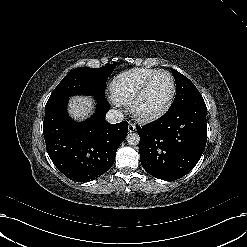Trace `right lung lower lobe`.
I'll return each instance as SVG.
<instances>
[{
    "label": "right lung lower lobe",
    "mask_w": 247,
    "mask_h": 247,
    "mask_svg": "<svg viewBox=\"0 0 247 247\" xmlns=\"http://www.w3.org/2000/svg\"><path fill=\"white\" fill-rule=\"evenodd\" d=\"M94 115L76 123L67 114L69 98L47 102L43 134L47 152L61 173L76 182H88L108 171L116 151L126 138L128 123L110 124L105 120L109 103L95 97Z\"/></svg>",
    "instance_id": "1"
}]
</instances>
